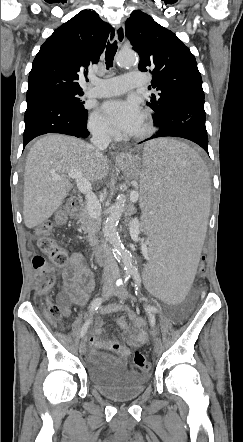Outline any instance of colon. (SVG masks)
Instances as JSON below:
<instances>
[{
    "mask_svg": "<svg viewBox=\"0 0 243 442\" xmlns=\"http://www.w3.org/2000/svg\"><path fill=\"white\" fill-rule=\"evenodd\" d=\"M68 208L56 214L54 222L56 225L62 226L67 223ZM121 223L125 229L130 230L133 227L131 216H122ZM38 236L39 249L50 256L52 263L56 266H65L68 262L66 251L58 246L52 235V227L50 223L41 224L36 231ZM210 260L209 255H202L196 269L195 276L200 278ZM32 265L36 276V290L39 295L46 294L51 290L56 281V273L44 257L35 255L32 258ZM46 315L56 325L63 327V319L66 313L56 304L46 301ZM133 365L141 371H149L151 369V358L145 356L141 352H135L133 355Z\"/></svg>",
    "mask_w": 243,
    "mask_h": 442,
    "instance_id": "5ec220e1",
    "label": "colon"
}]
</instances>
